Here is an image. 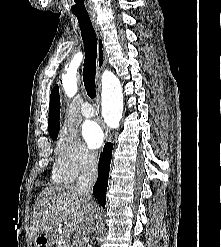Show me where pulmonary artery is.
<instances>
[{"mask_svg": "<svg viewBox=\"0 0 221 247\" xmlns=\"http://www.w3.org/2000/svg\"><path fill=\"white\" fill-rule=\"evenodd\" d=\"M81 113L84 117L90 118L94 115V110L88 102H84L81 107Z\"/></svg>", "mask_w": 221, "mask_h": 247, "instance_id": "1", "label": "pulmonary artery"}]
</instances>
